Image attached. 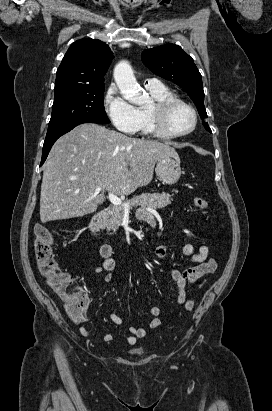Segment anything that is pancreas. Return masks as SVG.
Segmentation results:
<instances>
[{"instance_id": "1", "label": "pancreas", "mask_w": 272, "mask_h": 411, "mask_svg": "<svg viewBox=\"0 0 272 411\" xmlns=\"http://www.w3.org/2000/svg\"><path fill=\"white\" fill-rule=\"evenodd\" d=\"M171 201V195L168 193H142L128 200L126 203L130 205V208L141 206L142 208L161 209L169 205ZM123 217L124 208L122 206H114L112 214L105 224L107 230L115 232L120 227Z\"/></svg>"}]
</instances>
